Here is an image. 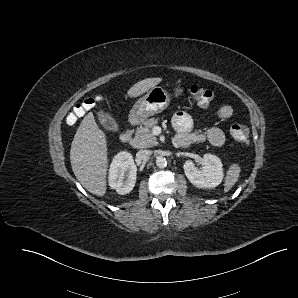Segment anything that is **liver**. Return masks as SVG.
<instances>
[{
  "label": "liver",
  "instance_id": "1",
  "mask_svg": "<svg viewBox=\"0 0 298 298\" xmlns=\"http://www.w3.org/2000/svg\"><path fill=\"white\" fill-rule=\"evenodd\" d=\"M161 81L162 78L159 77L143 79L130 87L127 95L131 98L138 97ZM70 162L75 177L87 191L100 197L105 195L107 142L92 112L83 118L75 133L71 144Z\"/></svg>",
  "mask_w": 298,
  "mask_h": 298
}]
</instances>
